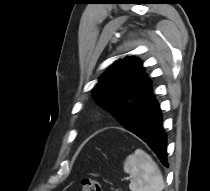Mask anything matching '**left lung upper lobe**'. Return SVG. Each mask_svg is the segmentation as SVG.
I'll list each match as a JSON object with an SVG mask.
<instances>
[{"mask_svg":"<svg viewBox=\"0 0 210 191\" xmlns=\"http://www.w3.org/2000/svg\"><path fill=\"white\" fill-rule=\"evenodd\" d=\"M151 92V83L142 62L125 57L116 61L100 78L92 95L97 103L113 113L125 129L132 130L136 122H128L129 111Z\"/></svg>","mask_w":210,"mask_h":191,"instance_id":"left-lung-upper-lobe-1","label":"left lung upper lobe"}]
</instances>
